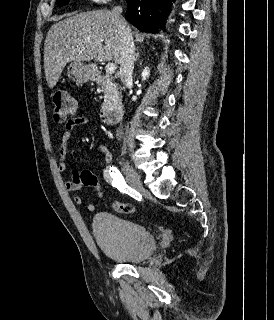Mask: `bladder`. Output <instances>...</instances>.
Returning <instances> with one entry per match:
<instances>
[{
    "label": "bladder",
    "instance_id": "bladder-1",
    "mask_svg": "<svg viewBox=\"0 0 274 320\" xmlns=\"http://www.w3.org/2000/svg\"><path fill=\"white\" fill-rule=\"evenodd\" d=\"M92 233L106 256L123 263H140L149 258L157 246L145 226L109 212H100L94 217Z\"/></svg>",
    "mask_w": 274,
    "mask_h": 320
}]
</instances>
